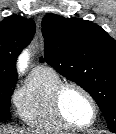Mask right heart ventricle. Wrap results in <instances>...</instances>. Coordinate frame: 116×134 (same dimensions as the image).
Returning a JSON list of instances; mask_svg holds the SVG:
<instances>
[{"mask_svg": "<svg viewBox=\"0 0 116 134\" xmlns=\"http://www.w3.org/2000/svg\"><path fill=\"white\" fill-rule=\"evenodd\" d=\"M62 82L58 73L49 67L35 69L27 87L16 99L20 118L36 129L57 133L70 131L71 128L58 118L53 104L54 91Z\"/></svg>", "mask_w": 116, "mask_h": 134, "instance_id": "right-heart-ventricle-1", "label": "right heart ventricle"}]
</instances>
